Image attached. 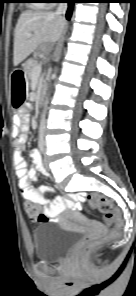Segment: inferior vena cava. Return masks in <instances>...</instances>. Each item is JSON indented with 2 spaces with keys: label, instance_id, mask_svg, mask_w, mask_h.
Returning a JSON list of instances; mask_svg holds the SVG:
<instances>
[{
  "label": "inferior vena cava",
  "instance_id": "inferior-vena-cava-1",
  "mask_svg": "<svg viewBox=\"0 0 136 296\" xmlns=\"http://www.w3.org/2000/svg\"><path fill=\"white\" fill-rule=\"evenodd\" d=\"M66 10H67V3H59V6H58L55 14L58 16L64 15Z\"/></svg>",
  "mask_w": 136,
  "mask_h": 296
}]
</instances>
